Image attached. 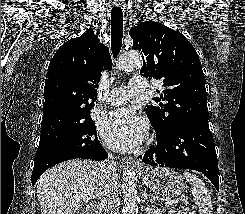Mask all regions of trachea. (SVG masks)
Wrapping results in <instances>:
<instances>
[{
  "instance_id": "trachea-1",
  "label": "trachea",
  "mask_w": 245,
  "mask_h": 214,
  "mask_svg": "<svg viewBox=\"0 0 245 214\" xmlns=\"http://www.w3.org/2000/svg\"><path fill=\"white\" fill-rule=\"evenodd\" d=\"M123 13L120 7H113L111 12V47L113 57H116L122 46Z\"/></svg>"
}]
</instances>
